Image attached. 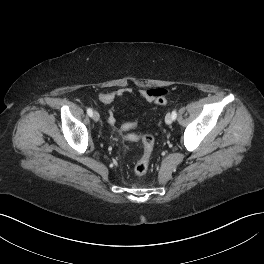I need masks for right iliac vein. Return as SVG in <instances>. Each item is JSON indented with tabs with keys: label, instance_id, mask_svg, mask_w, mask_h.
<instances>
[{
	"label": "right iliac vein",
	"instance_id": "right-iliac-vein-1",
	"mask_svg": "<svg viewBox=\"0 0 264 264\" xmlns=\"http://www.w3.org/2000/svg\"><path fill=\"white\" fill-rule=\"evenodd\" d=\"M92 117H93V120H94L95 122H98L99 119H100V115H99V113H98L97 111H94V112H93Z\"/></svg>",
	"mask_w": 264,
	"mask_h": 264
}]
</instances>
